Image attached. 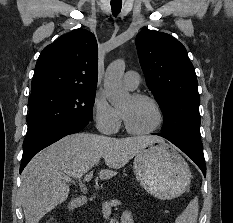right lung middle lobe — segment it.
I'll use <instances>...</instances> for the list:
<instances>
[{"instance_id": "1", "label": "right lung middle lobe", "mask_w": 233, "mask_h": 223, "mask_svg": "<svg viewBox=\"0 0 233 223\" xmlns=\"http://www.w3.org/2000/svg\"><path fill=\"white\" fill-rule=\"evenodd\" d=\"M96 89L58 88L31 94L24 148L72 120H92Z\"/></svg>"}]
</instances>
